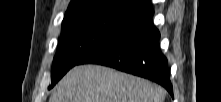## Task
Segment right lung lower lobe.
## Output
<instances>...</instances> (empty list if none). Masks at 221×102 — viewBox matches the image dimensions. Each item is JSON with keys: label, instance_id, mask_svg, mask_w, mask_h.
Masks as SVG:
<instances>
[{"label": "right lung lower lobe", "instance_id": "1", "mask_svg": "<svg viewBox=\"0 0 221 102\" xmlns=\"http://www.w3.org/2000/svg\"><path fill=\"white\" fill-rule=\"evenodd\" d=\"M153 14L152 8L141 13L92 50L79 64H101L147 78L173 96L168 60L160 49V32L152 22Z\"/></svg>", "mask_w": 221, "mask_h": 102}]
</instances>
